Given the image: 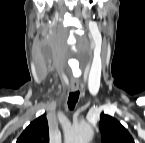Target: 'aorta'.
<instances>
[{"label": "aorta", "instance_id": "762f6f07", "mask_svg": "<svg viewBox=\"0 0 145 143\" xmlns=\"http://www.w3.org/2000/svg\"><path fill=\"white\" fill-rule=\"evenodd\" d=\"M93 136V128L88 124L72 127L66 134V143H89Z\"/></svg>", "mask_w": 145, "mask_h": 143}]
</instances>
